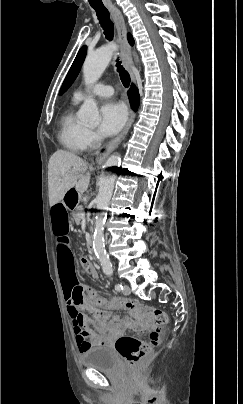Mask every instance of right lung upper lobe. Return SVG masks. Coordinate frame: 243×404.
<instances>
[{
  "label": "right lung upper lobe",
  "instance_id": "cb5924a9",
  "mask_svg": "<svg viewBox=\"0 0 243 404\" xmlns=\"http://www.w3.org/2000/svg\"><path fill=\"white\" fill-rule=\"evenodd\" d=\"M128 40H129V43H130V44H133V43H134V40H133V38H132L131 35H128Z\"/></svg>",
  "mask_w": 243,
  "mask_h": 404
}]
</instances>
